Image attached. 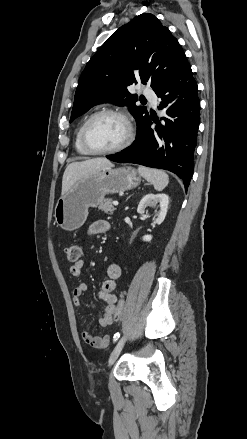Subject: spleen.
I'll list each match as a JSON object with an SVG mask.
<instances>
[{
  "instance_id": "spleen-1",
  "label": "spleen",
  "mask_w": 247,
  "mask_h": 439,
  "mask_svg": "<svg viewBox=\"0 0 247 439\" xmlns=\"http://www.w3.org/2000/svg\"><path fill=\"white\" fill-rule=\"evenodd\" d=\"M138 172L144 179L152 183L157 191H162L169 183L168 175L162 170L139 166Z\"/></svg>"
}]
</instances>
